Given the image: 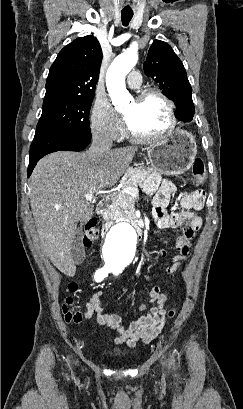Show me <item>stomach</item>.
Here are the masks:
<instances>
[{
	"instance_id": "1",
	"label": "stomach",
	"mask_w": 243,
	"mask_h": 409,
	"mask_svg": "<svg viewBox=\"0 0 243 409\" xmlns=\"http://www.w3.org/2000/svg\"><path fill=\"white\" fill-rule=\"evenodd\" d=\"M197 153L192 134L176 130L147 149L145 161L152 169L165 175H178L187 171Z\"/></svg>"
}]
</instances>
